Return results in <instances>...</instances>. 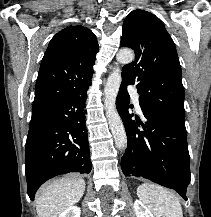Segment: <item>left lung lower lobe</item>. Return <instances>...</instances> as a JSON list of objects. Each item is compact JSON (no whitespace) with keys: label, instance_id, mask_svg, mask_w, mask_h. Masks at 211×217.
Segmentation results:
<instances>
[{"label":"left lung lower lobe","instance_id":"left-lung-lower-lobe-1","mask_svg":"<svg viewBox=\"0 0 211 217\" xmlns=\"http://www.w3.org/2000/svg\"><path fill=\"white\" fill-rule=\"evenodd\" d=\"M128 83L122 81L116 98L117 111L125 126L128 144L121 158L125 176L143 177L162 186L174 189L187 200L190 181L189 152L185 125L164 116L152 114L141 107L146 122L131 120Z\"/></svg>","mask_w":211,"mask_h":217}]
</instances>
